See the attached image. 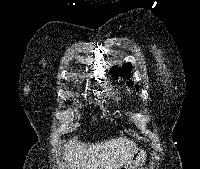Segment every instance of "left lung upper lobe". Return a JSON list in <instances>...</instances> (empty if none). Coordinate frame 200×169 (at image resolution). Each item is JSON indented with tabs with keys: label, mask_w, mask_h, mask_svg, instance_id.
<instances>
[{
	"label": "left lung upper lobe",
	"mask_w": 200,
	"mask_h": 169,
	"mask_svg": "<svg viewBox=\"0 0 200 169\" xmlns=\"http://www.w3.org/2000/svg\"><path fill=\"white\" fill-rule=\"evenodd\" d=\"M123 69H124V72H122L121 68L112 67L110 74H113V75L114 74H116V75L125 74L128 78L129 77V70L131 69V64L130 63L124 64ZM135 87L137 88L138 86H135Z\"/></svg>",
	"instance_id": "1"
}]
</instances>
